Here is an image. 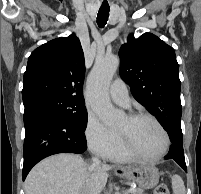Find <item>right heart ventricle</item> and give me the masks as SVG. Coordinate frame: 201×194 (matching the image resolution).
Wrapping results in <instances>:
<instances>
[{
	"label": "right heart ventricle",
	"instance_id": "1",
	"mask_svg": "<svg viewBox=\"0 0 201 194\" xmlns=\"http://www.w3.org/2000/svg\"><path fill=\"white\" fill-rule=\"evenodd\" d=\"M107 159L116 162H129L135 158L129 155L124 149L121 139L119 137V142L116 147L106 156Z\"/></svg>",
	"mask_w": 201,
	"mask_h": 194
}]
</instances>
